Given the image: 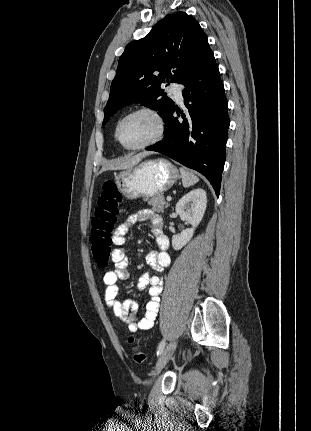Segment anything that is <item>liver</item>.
I'll list each match as a JSON object with an SVG mask.
<instances>
[{
	"mask_svg": "<svg viewBox=\"0 0 311 431\" xmlns=\"http://www.w3.org/2000/svg\"><path fill=\"white\" fill-rule=\"evenodd\" d=\"M150 154H152V152H140V154H136V156H130V158H121L119 164H116V166H111V168H101L98 174H102V172H106V170H127V168L137 166L139 162H142L143 158L150 156Z\"/></svg>",
	"mask_w": 311,
	"mask_h": 431,
	"instance_id": "obj_1",
	"label": "liver"
}]
</instances>
